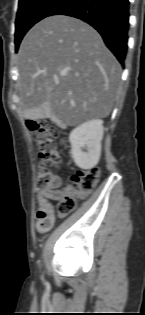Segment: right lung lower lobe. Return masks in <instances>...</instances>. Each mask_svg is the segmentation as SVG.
Instances as JSON below:
<instances>
[{"instance_id": "1", "label": "right lung lower lobe", "mask_w": 145, "mask_h": 315, "mask_svg": "<svg viewBox=\"0 0 145 315\" xmlns=\"http://www.w3.org/2000/svg\"><path fill=\"white\" fill-rule=\"evenodd\" d=\"M52 15H67L93 26L123 65L127 53L129 0H66Z\"/></svg>"}]
</instances>
